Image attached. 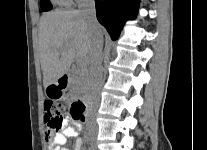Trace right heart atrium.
I'll return each mask as SVG.
<instances>
[{"mask_svg": "<svg viewBox=\"0 0 207 150\" xmlns=\"http://www.w3.org/2000/svg\"><path fill=\"white\" fill-rule=\"evenodd\" d=\"M68 2H72V1H74V0H67Z\"/></svg>", "mask_w": 207, "mask_h": 150, "instance_id": "d8ad5b80", "label": "right heart atrium"}]
</instances>
